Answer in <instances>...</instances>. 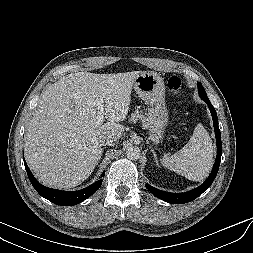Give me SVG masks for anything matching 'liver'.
Returning <instances> with one entry per match:
<instances>
[{"label":"liver","instance_id":"liver-1","mask_svg":"<svg viewBox=\"0 0 253 253\" xmlns=\"http://www.w3.org/2000/svg\"><path fill=\"white\" fill-rule=\"evenodd\" d=\"M142 71L117 74L71 73L42 94L24 138L25 159L34 175L50 187L69 189L85 181L101 158L104 137L118 141L129 111L131 91ZM104 116L100 125L96 100Z\"/></svg>","mask_w":253,"mask_h":253}]
</instances>
